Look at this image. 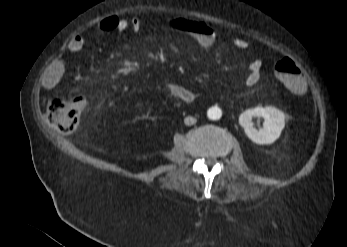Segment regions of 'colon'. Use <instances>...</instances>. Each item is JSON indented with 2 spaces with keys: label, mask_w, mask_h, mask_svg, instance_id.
Instances as JSON below:
<instances>
[{
  "label": "colon",
  "mask_w": 347,
  "mask_h": 247,
  "mask_svg": "<svg viewBox=\"0 0 347 247\" xmlns=\"http://www.w3.org/2000/svg\"><path fill=\"white\" fill-rule=\"evenodd\" d=\"M274 76L288 89L300 94L306 89V83L298 65L289 58H284L273 65ZM85 102L82 98L63 100L54 98L47 105L50 123L62 133L76 130Z\"/></svg>",
  "instance_id": "1"
}]
</instances>
